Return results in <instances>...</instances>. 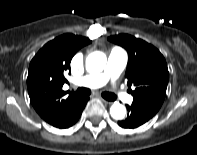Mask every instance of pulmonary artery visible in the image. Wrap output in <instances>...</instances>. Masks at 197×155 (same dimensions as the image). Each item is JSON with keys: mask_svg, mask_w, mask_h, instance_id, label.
I'll use <instances>...</instances> for the list:
<instances>
[{"mask_svg": "<svg viewBox=\"0 0 197 155\" xmlns=\"http://www.w3.org/2000/svg\"><path fill=\"white\" fill-rule=\"evenodd\" d=\"M126 62V52L120 47H113L109 54L106 67L103 72L82 77L78 79L75 84L78 86L90 88L101 87L109 81H114L123 71ZM116 95L119 96L122 100L132 102L131 97L126 96L121 92H117Z\"/></svg>", "mask_w": 197, "mask_h": 155, "instance_id": "e3ab8cb5", "label": "pulmonary artery"}]
</instances>
